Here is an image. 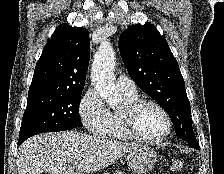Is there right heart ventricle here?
Listing matches in <instances>:
<instances>
[{
  "mask_svg": "<svg viewBox=\"0 0 224 174\" xmlns=\"http://www.w3.org/2000/svg\"><path fill=\"white\" fill-rule=\"evenodd\" d=\"M125 103L131 102L137 99V95H126L123 94ZM119 111H109V121L108 126L104 133L101 135L103 138L106 139H113V140H128L131 139L122 129L120 120H119Z\"/></svg>",
  "mask_w": 224,
  "mask_h": 174,
  "instance_id": "e07e8e85",
  "label": "right heart ventricle"
}]
</instances>
